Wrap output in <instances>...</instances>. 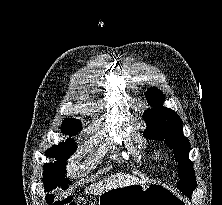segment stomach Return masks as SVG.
Masks as SVG:
<instances>
[{
	"mask_svg": "<svg viewBox=\"0 0 222 205\" xmlns=\"http://www.w3.org/2000/svg\"><path fill=\"white\" fill-rule=\"evenodd\" d=\"M99 205H188L187 201L160 183H138L107 190L99 195Z\"/></svg>",
	"mask_w": 222,
	"mask_h": 205,
	"instance_id": "1",
	"label": "stomach"
}]
</instances>
